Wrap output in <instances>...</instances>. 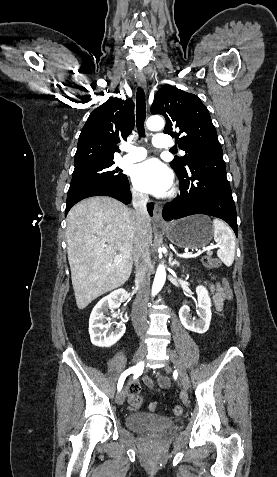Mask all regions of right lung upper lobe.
Wrapping results in <instances>:
<instances>
[{"mask_svg": "<svg viewBox=\"0 0 277 477\" xmlns=\"http://www.w3.org/2000/svg\"><path fill=\"white\" fill-rule=\"evenodd\" d=\"M134 127V104L110 97L88 117L79 136L74 166L113 161L115 144Z\"/></svg>", "mask_w": 277, "mask_h": 477, "instance_id": "obj_1", "label": "right lung upper lobe"}]
</instances>
